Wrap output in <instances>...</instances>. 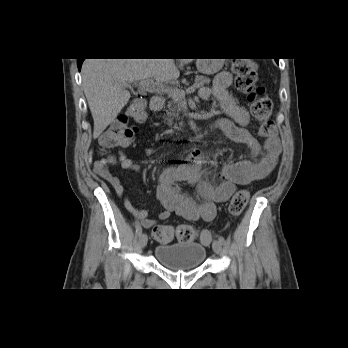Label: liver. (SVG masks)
Wrapping results in <instances>:
<instances>
[{
	"label": "liver",
	"instance_id": "6515ba94",
	"mask_svg": "<svg viewBox=\"0 0 348 348\" xmlns=\"http://www.w3.org/2000/svg\"><path fill=\"white\" fill-rule=\"evenodd\" d=\"M177 60L181 65L192 61ZM81 73L84 93L94 120V139L128 103V83L146 79L169 83L180 76L174 59H86Z\"/></svg>",
	"mask_w": 348,
	"mask_h": 348
}]
</instances>
